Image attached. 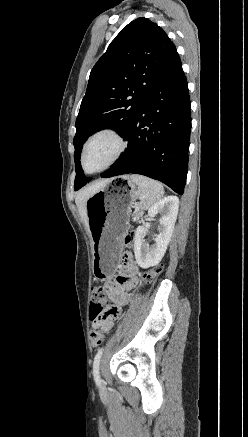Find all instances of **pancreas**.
<instances>
[{
	"label": "pancreas",
	"mask_w": 248,
	"mask_h": 437,
	"mask_svg": "<svg viewBox=\"0 0 248 437\" xmlns=\"http://www.w3.org/2000/svg\"><path fill=\"white\" fill-rule=\"evenodd\" d=\"M133 216H134V220H137L140 217V213L136 211L134 212Z\"/></svg>",
	"instance_id": "obj_1"
}]
</instances>
